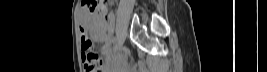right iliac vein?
<instances>
[{"label":"right iliac vein","instance_id":"right-iliac-vein-1","mask_svg":"<svg viewBox=\"0 0 267 72\" xmlns=\"http://www.w3.org/2000/svg\"><path fill=\"white\" fill-rule=\"evenodd\" d=\"M120 49H121V44H118L115 51L118 52V51H120Z\"/></svg>","mask_w":267,"mask_h":72}]
</instances>
